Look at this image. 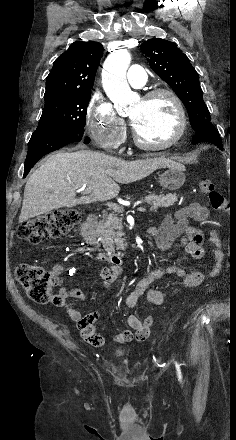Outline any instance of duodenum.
I'll use <instances>...</instances> for the list:
<instances>
[{
	"label": "duodenum",
	"instance_id": "obj_1",
	"mask_svg": "<svg viewBox=\"0 0 236 440\" xmlns=\"http://www.w3.org/2000/svg\"><path fill=\"white\" fill-rule=\"evenodd\" d=\"M97 214L90 213L82 225V236L94 250L97 261L119 267L124 261V253L107 254L101 248L96 233Z\"/></svg>",
	"mask_w": 236,
	"mask_h": 440
}]
</instances>
